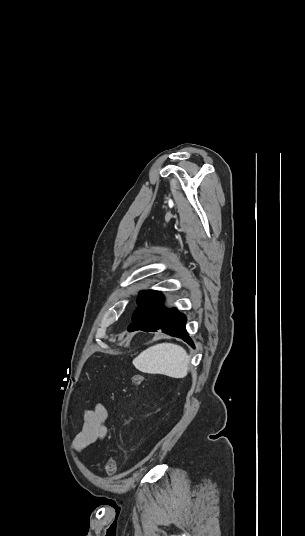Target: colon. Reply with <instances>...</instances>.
<instances>
[{"mask_svg": "<svg viewBox=\"0 0 305 536\" xmlns=\"http://www.w3.org/2000/svg\"><path fill=\"white\" fill-rule=\"evenodd\" d=\"M144 376L141 373H135L131 376V384L134 386L142 384ZM117 471V459L115 455H110L107 462V472L110 476H114Z\"/></svg>", "mask_w": 305, "mask_h": 536, "instance_id": "obj_1", "label": "colon"}]
</instances>
